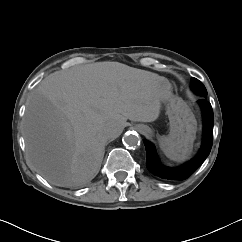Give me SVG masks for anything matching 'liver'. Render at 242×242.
<instances>
[{"instance_id": "obj_1", "label": "liver", "mask_w": 242, "mask_h": 242, "mask_svg": "<svg viewBox=\"0 0 242 242\" xmlns=\"http://www.w3.org/2000/svg\"><path fill=\"white\" fill-rule=\"evenodd\" d=\"M172 95L163 76L119 62H96L47 76L26 102L23 134L30 162L51 184L80 186L94 178L108 126L153 122ZM121 131V133H122Z\"/></svg>"}]
</instances>
